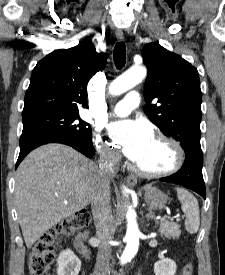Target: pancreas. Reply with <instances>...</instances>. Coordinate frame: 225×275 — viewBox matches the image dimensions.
Segmentation results:
<instances>
[{"instance_id": "1", "label": "pancreas", "mask_w": 225, "mask_h": 275, "mask_svg": "<svg viewBox=\"0 0 225 275\" xmlns=\"http://www.w3.org/2000/svg\"><path fill=\"white\" fill-rule=\"evenodd\" d=\"M180 226L172 221H162L160 224L161 235L167 238H176L181 234Z\"/></svg>"}]
</instances>
